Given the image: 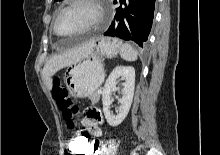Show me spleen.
Returning <instances> with one entry per match:
<instances>
[{"label":"spleen","mask_w":220,"mask_h":155,"mask_svg":"<svg viewBox=\"0 0 220 155\" xmlns=\"http://www.w3.org/2000/svg\"><path fill=\"white\" fill-rule=\"evenodd\" d=\"M120 56L125 61H136L137 60V52L132 48L130 44H122L120 50Z\"/></svg>","instance_id":"obj_1"}]
</instances>
